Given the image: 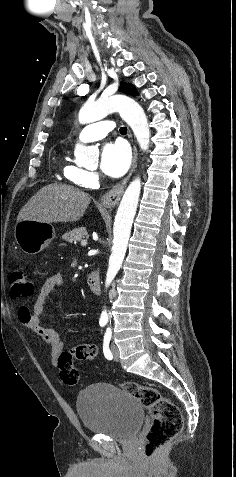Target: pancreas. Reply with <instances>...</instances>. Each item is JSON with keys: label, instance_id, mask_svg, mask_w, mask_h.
Here are the masks:
<instances>
[{"label": "pancreas", "instance_id": "pancreas-1", "mask_svg": "<svg viewBox=\"0 0 236 477\" xmlns=\"http://www.w3.org/2000/svg\"><path fill=\"white\" fill-rule=\"evenodd\" d=\"M88 236L85 227L76 228L70 232L65 233L62 236V239L69 242V243H77L78 241L82 240V238Z\"/></svg>", "mask_w": 236, "mask_h": 477}]
</instances>
